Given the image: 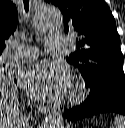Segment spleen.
Returning a JSON list of instances; mask_svg holds the SVG:
<instances>
[{
  "instance_id": "1",
  "label": "spleen",
  "mask_w": 125,
  "mask_h": 128,
  "mask_svg": "<svg viewBox=\"0 0 125 128\" xmlns=\"http://www.w3.org/2000/svg\"><path fill=\"white\" fill-rule=\"evenodd\" d=\"M111 128H125V117L123 116L115 117Z\"/></svg>"
}]
</instances>
